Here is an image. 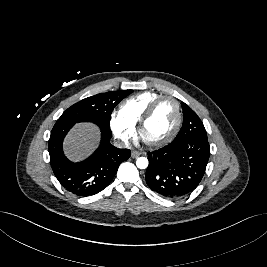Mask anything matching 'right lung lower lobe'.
Segmentation results:
<instances>
[{"label":"right lung lower lobe","instance_id":"1","mask_svg":"<svg viewBox=\"0 0 267 267\" xmlns=\"http://www.w3.org/2000/svg\"><path fill=\"white\" fill-rule=\"evenodd\" d=\"M101 129V144L86 160L73 163L64 155L62 143L73 125H55L51 131L48 151L52 170L60 184L69 192L86 197L106 188L115 176L118 166L127 160L131 151L110 144L111 130L96 123Z\"/></svg>","mask_w":267,"mask_h":267}]
</instances>
